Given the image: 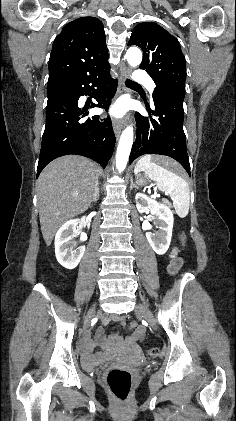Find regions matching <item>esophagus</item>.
Here are the masks:
<instances>
[{"label":"esophagus","mask_w":236,"mask_h":421,"mask_svg":"<svg viewBox=\"0 0 236 421\" xmlns=\"http://www.w3.org/2000/svg\"><path fill=\"white\" fill-rule=\"evenodd\" d=\"M129 75H130L129 69H125L123 72L120 73L119 88H118V91H117L118 95L128 91V89L125 87L124 81H125L126 78L129 77ZM123 126H124V121L116 120V119L113 120V129H114L115 136H116L117 139L119 138V135L121 133V130H122Z\"/></svg>","instance_id":"34e87169"}]
</instances>
